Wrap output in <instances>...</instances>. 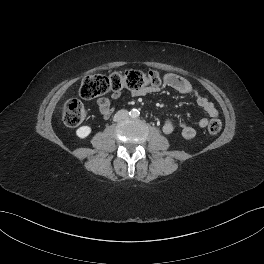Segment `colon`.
<instances>
[{"instance_id":"obj_1","label":"colon","mask_w":264,"mask_h":264,"mask_svg":"<svg viewBox=\"0 0 264 264\" xmlns=\"http://www.w3.org/2000/svg\"><path fill=\"white\" fill-rule=\"evenodd\" d=\"M162 83L160 74L155 70L147 73L129 70L110 74H91L81 83L79 94L84 99H93L109 91L120 92L123 89L139 91L147 87H158ZM86 117V110L78 99H68L63 105V120L66 125L75 127ZM222 127L219 119H211L207 125L210 135H217Z\"/></svg>"}]
</instances>
